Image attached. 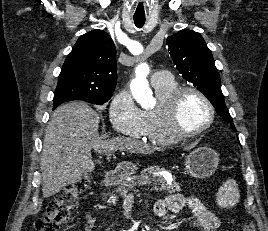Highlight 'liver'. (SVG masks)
I'll list each match as a JSON object with an SVG mask.
<instances>
[{"label":"liver","instance_id":"6515ba94","mask_svg":"<svg viewBox=\"0 0 268 231\" xmlns=\"http://www.w3.org/2000/svg\"><path fill=\"white\" fill-rule=\"evenodd\" d=\"M100 117L84 102L58 107L47 124L40 160L44 198L77 182L95 168L91 150L111 154L126 150L148 154L158 148L126 137L103 140L98 134Z\"/></svg>","mask_w":268,"mask_h":231}]
</instances>
